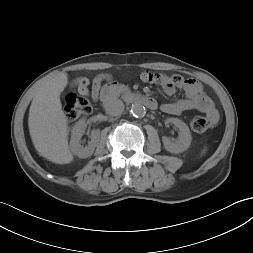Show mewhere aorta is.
<instances>
[{
    "label": "aorta",
    "instance_id": "aorta-1",
    "mask_svg": "<svg viewBox=\"0 0 253 253\" xmlns=\"http://www.w3.org/2000/svg\"><path fill=\"white\" fill-rule=\"evenodd\" d=\"M130 112L134 117H143L146 113V110L141 103H135L132 105Z\"/></svg>",
    "mask_w": 253,
    "mask_h": 253
}]
</instances>
